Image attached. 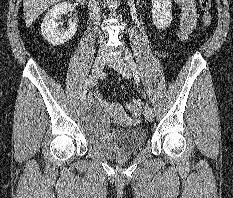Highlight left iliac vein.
I'll list each match as a JSON object with an SVG mask.
<instances>
[{
	"instance_id": "obj_1",
	"label": "left iliac vein",
	"mask_w": 233,
	"mask_h": 198,
	"mask_svg": "<svg viewBox=\"0 0 233 198\" xmlns=\"http://www.w3.org/2000/svg\"><path fill=\"white\" fill-rule=\"evenodd\" d=\"M108 65L118 71L123 77L130 78L132 73L120 55H111L107 59ZM144 116L147 121L152 122L154 119V113L149 103H146L144 108Z\"/></svg>"
}]
</instances>
